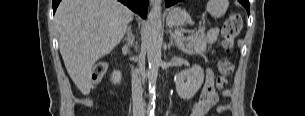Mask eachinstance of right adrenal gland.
<instances>
[{
	"label": "right adrenal gland",
	"mask_w": 305,
	"mask_h": 116,
	"mask_svg": "<svg viewBox=\"0 0 305 116\" xmlns=\"http://www.w3.org/2000/svg\"><path fill=\"white\" fill-rule=\"evenodd\" d=\"M126 34H127V36L125 37V41H126L125 47H128L133 44L134 39H135L134 35L132 34L131 26H128Z\"/></svg>",
	"instance_id": "right-adrenal-gland-1"
}]
</instances>
